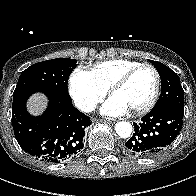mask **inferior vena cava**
<instances>
[{
  "label": "inferior vena cava",
  "instance_id": "inferior-vena-cava-1",
  "mask_svg": "<svg viewBox=\"0 0 196 196\" xmlns=\"http://www.w3.org/2000/svg\"><path fill=\"white\" fill-rule=\"evenodd\" d=\"M77 108L80 109L83 112H92L95 110L96 105L95 103H92L90 101H79L76 104Z\"/></svg>",
  "mask_w": 196,
  "mask_h": 196
}]
</instances>
